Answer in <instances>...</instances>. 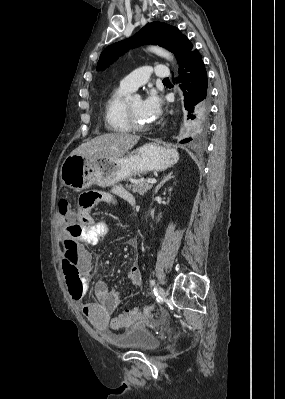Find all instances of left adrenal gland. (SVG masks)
<instances>
[{
	"label": "left adrenal gland",
	"instance_id": "left-adrenal-gland-1",
	"mask_svg": "<svg viewBox=\"0 0 285 399\" xmlns=\"http://www.w3.org/2000/svg\"><path fill=\"white\" fill-rule=\"evenodd\" d=\"M174 176H173V172H169L167 175H164L163 176V179L161 180V182L156 186V188H155V194H157L158 193V191H159V189L167 182V181H169L170 179H172Z\"/></svg>",
	"mask_w": 285,
	"mask_h": 399
}]
</instances>
